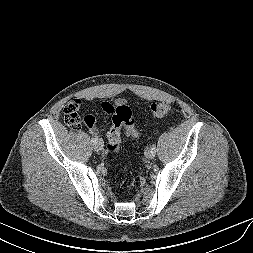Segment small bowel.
Instances as JSON below:
<instances>
[{"instance_id":"c3829d8e","label":"small bowel","mask_w":253,"mask_h":253,"mask_svg":"<svg viewBox=\"0 0 253 253\" xmlns=\"http://www.w3.org/2000/svg\"><path fill=\"white\" fill-rule=\"evenodd\" d=\"M119 103H124L123 100L119 99L115 102V105L119 104ZM109 107H114V105L110 104V103H107ZM103 110L108 114V115H111V112L107 109L104 108V104H103ZM89 128V131L94 134V135H97L100 133V129H98L97 127H95V124L91 127H88Z\"/></svg>"}]
</instances>
